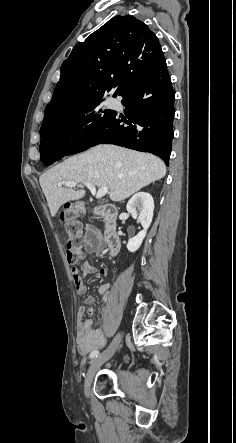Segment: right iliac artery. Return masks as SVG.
I'll return each instance as SVG.
<instances>
[{
  "instance_id": "right-iliac-artery-1",
  "label": "right iliac artery",
  "mask_w": 236,
  "mask_h": 443,
  "mask_svg": "<svg viewBox=\"0 0 236 443\" xmlns=\"http://www.w3.org/2000/svg\"><path fill=\"white\" fill-rule=\"evenodd\" d=\"M98 354H99V351L98 350H94V351H92L90 353V358L93 359V358L97 357Z\"/></svg>"
}]
</instances>
